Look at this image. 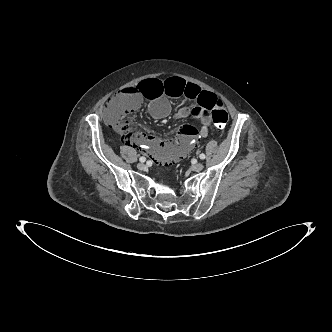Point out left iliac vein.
Masks as SVG:
<instances>
[{
  "mask_svg": "<svg viewBox=\"0 0 332 332\" xmlns=\"http://www.w3.org/2000/svg\"><path fill=\"white\" fill-rule=\"evenodd\" d=\"M204 168V165L202 163H195L191 166V169L195 172H199Z\"/></svg>",
  "mask_w": 332,
  "mask_h": 332,
  "instance_id": "4c4485c4",
  "label": "left iliac vein"
}]
</instances>
